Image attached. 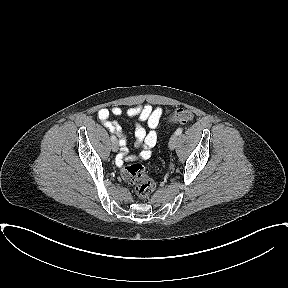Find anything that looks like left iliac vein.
<instances>
[{"label": "left iliac vein", "instance_id": "4c4485c4", "mask_svg": "<svg viewBox=\"0 0 288 288\" xmlns=\"http://www.w3.org/2000/svg\"><path fill=\"white\" fill-rule=\"evenodd\" d=\"M177 144V135H172L169 140V148L173 150L176 147Z\"/></svg>", "mask_w": 288, "mask_h": 288}]
</instances>
